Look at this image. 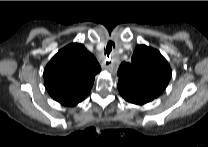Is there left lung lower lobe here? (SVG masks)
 <instances>
[{
	"mask_svg": "<svg viewBox=\"0 0 208 147\" xmlns=\"http://www.w3.org/2000/svg\"><path fill=\"white\" fill-rule=\"evenodd\" d=\"M121 96L128 102L137 104V105H142L145 103H148L153 100V98L140 94L138 92L126 90L124 88L119 87L118 88Z\"/></svg>",
	"mask_w": 208,
	"mask_h": 147,
	"instance_id": "left-lung-lower-lobe-1",
	"label": "left lung lower lobe"
}]
</instances>
